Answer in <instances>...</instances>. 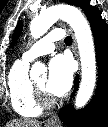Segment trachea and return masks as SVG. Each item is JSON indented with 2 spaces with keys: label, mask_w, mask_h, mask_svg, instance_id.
Returning <instances> with one entry per match:
<instances>
[{
  "label": "trachea",
  "mask_w": 108,
  "mask_h": 127,
  "mask_svg": "<svg viewBox=\"0 0 108 127\" xmlns=\"http://www.w3.org/2000/svg\"><path fill=\"white\" fill-rule=\"evenodd\" d=\"M64 41H65V44H71L72 38L70 36H67Z\"/></svg>",
  "instance_id": "obj_1"
}]
</instances>
